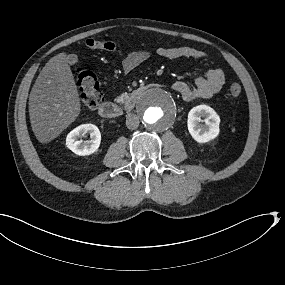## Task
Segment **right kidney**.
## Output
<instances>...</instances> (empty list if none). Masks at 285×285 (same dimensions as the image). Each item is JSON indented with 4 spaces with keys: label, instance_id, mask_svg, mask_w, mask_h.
<instances>
[{
    "label": "right kidney",
    "instance_id": "ca27d5eb",
    "mask_svg": "<svg viewBox=\"0 0 285 285\" xmlns=\"http://www.w3.org/2000/svg\"><path fill=\"white\" fill-rule=\"evenodd\" d=\"M90 133L91 140L78 141L80 136ZM101 142V133L96 125L82 124L73 129L66 138V146L77 155H90L97 151Z\"/></svg>",
    "mask_w": 285,
    "mask_h": 285
}]
</instances>
